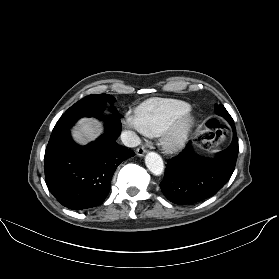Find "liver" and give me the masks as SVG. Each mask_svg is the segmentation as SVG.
<instances>
[{"mask_svg":"<svg viewBox=\"0 0 279 279\" xmlns=\"http://www.w3.org/2000/svg\"><path fill=\"white\" fill-rule=\"evenodd\" d=\"M101 133L102 127L99 123L83 120L79 128L73 131V137L78 143L85 144L95 140Z\"/></svg>","mask_w":279,"mask_h":279,"instance_id":"6515ba94","label":"liver"}]
</instances>
